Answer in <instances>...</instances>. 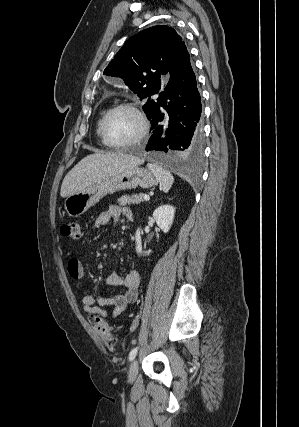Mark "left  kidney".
<instances>
[{"instance_id":"5707ae66","label":"left kidney","mask_w":299,"mask_h":427,"mask_svg":"<svg viewBox=\"0 0 299 427\" xmlns=\"http://www.w3.org/2000/svg\"><path fill=\"white\" fill-rule=\"evenodd\" d=\"M174 214L175 208L170 205H162L153 212L154 220L164 233H167L170 230L174 220ZM140 234L141 232L138 228L135 234L136 252L138 255H149L151 253V250H148L146 252L142 251V242Z\"/></svg>"}]
</instances>
